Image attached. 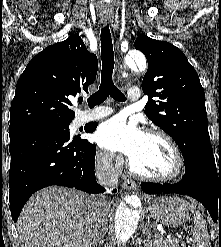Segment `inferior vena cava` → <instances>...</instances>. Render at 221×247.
Returning <instances> with one entry per match:
<instances>
[{"label": "inferior vena cava", "instance_id": "inferior-vena-cava-1", "mask_svg": "<svg viewBox=\"0 0 221 247\" xmlns=\"http://www.w3.org/2000/svg\"><path fill=\"white\" fill-rule=\"evenodd\" d=\"M112 153H105L98 161L95 168V175L100 185L104 187H113L118 183V176L112 165ZM94 225L92 230V245L95 247L101 244L106 233L107 225V201L104 196H98L94 199Z\"/></svg>", "mask_w": 221, "mask_h": 247}]
</instances>
